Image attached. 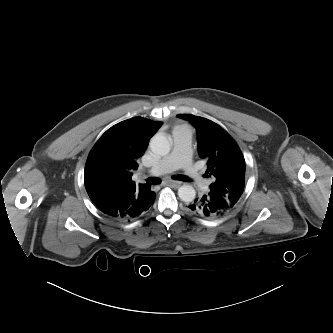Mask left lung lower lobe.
Masks as SVG:
<instances>
[{
  "mask_svg": "<svg viewBox=\"0 0 333 333\" xmlns=\"http://www.w3.org/2000/svg\"><path fill=\"white\" fill-rule=\"evenodd\" d=\"M189 208L201 216L217 218L229 212L233 207L224 197L209 192L195 199Z\"/></svg>",
  "mask_w": 333,
  "mask_h": 333,
  "instance_id": "obj_1",
  "label": "left lung lower lobe"
}]
</instances>
